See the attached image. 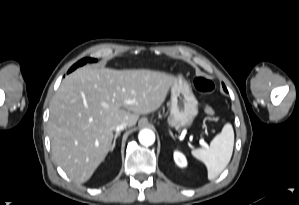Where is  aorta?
<instances>
[{
	"instance_id": "762f6f07",
	"label": "aorta",
	"mask_w": 299,
	"mask_h": 205,
	"mask_svg": "<svg viewBox=\"0 0 299 205\" xmlns=\"http://www.w3.org/2000/svg\"><path fill=\"white\" fill-rule=\"evenodd\" d=\"M138 138L142 145L150 146L155 141V134L149 129H144L140 131Z\"/></svg>"
}]
</instances>
